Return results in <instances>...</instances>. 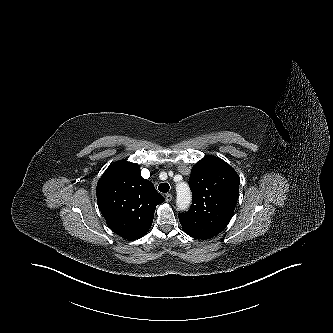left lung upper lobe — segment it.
<instances>
[{
	"label": "left lung upper lobe",
	"mask_w": 333,
	"mask_h": 333,
	"mask_svg": "<svg viewBox=\"0 0 333 333\" xmlns=\"http://www.w3.org/2000/svg\"><path fill=\"white\" fill-rule=\"evenodd\" d=\"M239 184L236 171L222 159L206 156L197 162L189 179L192 206L179 214L184 232L208 239L223 231L233 216Z\"/></svg>",
	"instance_id": "1"
}]
</instances>
